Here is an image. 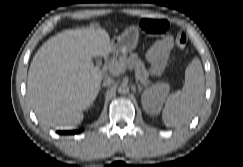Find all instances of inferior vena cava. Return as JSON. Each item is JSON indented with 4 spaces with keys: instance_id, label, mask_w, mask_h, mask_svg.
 <instances>
[{
    "instance_id": "602c4592",
    "label": "inferior vena cava",
    "mask_w": 243,
    "mask_h": 167,
    "mask_svg": "<svg viewBox=\"0 0 243 167\" xmlns=\"http://www.w3.org/2000/svg\"><path fill=\"white\" fill-rule=\"evenodd\" d=\"M111 83V80H107L104 82V85H109Z\"/></svg>"
}]
</instances>
